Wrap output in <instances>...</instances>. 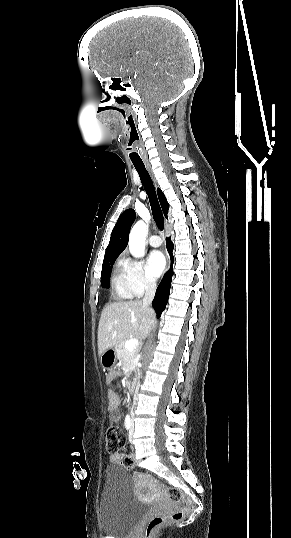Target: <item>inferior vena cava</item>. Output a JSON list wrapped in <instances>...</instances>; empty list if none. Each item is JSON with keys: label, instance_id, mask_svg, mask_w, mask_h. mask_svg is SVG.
<instances>
[{"label": "inferior vena cava", "instance_id": "obj_1", "mask_svg": "<svg viewBox=\"0 0 291 538\" xmlns=\"http://www.w3.org/2000/svg\"><path fill=\"white\" fill-rule=\"evenodd\" d=\"M155 292H156V282L154 280H148L146 282L145 295H144V298H143V301H142L144 306L151 305L152 300H153V298L155 296ZM138 387H139V384L136 387V391H135V395H134L133 407L131 408V416H133V408H134V405L136 403V396H137Z\"/></svg>", "mask_w": 291, "mask_h": 538}]
</instances>
